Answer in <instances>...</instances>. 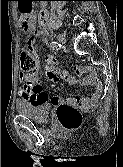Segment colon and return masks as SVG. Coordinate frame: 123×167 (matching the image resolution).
I'll return each mask as SVG.
<instances>
[{"label":"colon","mask_w":123,"mask_h":167,"mask_svg":"<svg viewBox=\"0 0 123 167\" xmlns=\"http://www.w3.org/2000/svg\"><path fill=\"white\" fill-rule=\"evenodd\" d=\"M37 57L31 49H23L20 53V67L22 73H29L37 68ZM57 118L65 130H75L82 122L81 113L75 108L62 105L58 108Z\"/></svg>","instance_id":"5ec220e1"}]
</instances>
